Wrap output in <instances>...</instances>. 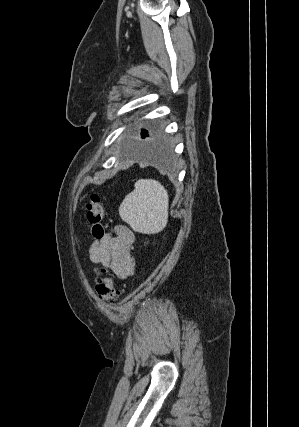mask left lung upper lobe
I'll return each instance as SVG.
<instances>
[{"mask_svg":"<svg viewBox=\"0 0 299 427\" xmlns=\"http://www.w3.org/2000/svg\"><path fill=\"white\" fill-rule=\"evenodd\" d=\"M148 136V132L146 131V130H142V132H141V137L142 138H145V137H147Z\"/></svg>","mask_w":299,"mask_h":427,"instance_id":"5c2ea615","label":"left lung upper lobe"}]
</instances>
